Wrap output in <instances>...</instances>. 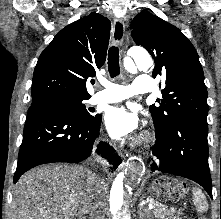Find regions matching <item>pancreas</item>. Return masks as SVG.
Masks as SVG:
<instances>
[{
  "instance_id": "cf45deb5",
  "label": "pancreas",
  "mask_w": 221,
  "mask_h": 219,
  "mask_svg": "<svg viewBox=\"0 0 221 219\" xmlns=\"http://www.w3.org/2000/svg\"><path fill=\"white\" fill-rule=\"evenodd\" d=\"M152 214L156 219H181L179 216L182 214V210H178L177 208L168 209L166 206L154 203Z\"/></svg>"
}]
</instances>
